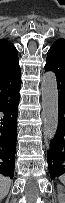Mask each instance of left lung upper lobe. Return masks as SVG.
Returning <instances> with one entry per match:
<instances>
[{
	"mask_svg": "<svg viewBox=\"0 0 65 203\" xmlns=\"http://www.w3.org/2000/svg\"><path fill=\"white\" fill-rule=\"evenodd\" d=\"M58 45V46H64L65 47V39H59L57 40L53 46Z\"/></svg>",
	"mask_w": 65,
	"mask_h": 203,
	"instance_id": "left-lung-upper-lobe-1",
	"label": "left lung upper lobe"
}]
</instances>
